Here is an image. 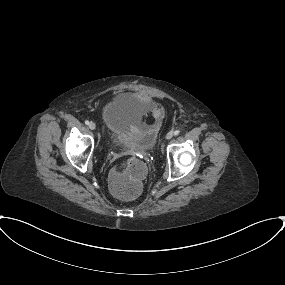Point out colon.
<instances>
[{"label":"colon","mask_w":285,"mask_h":285,"mask_svg":"<svg viewBox=\"0 0 285 285\" xmlns=\"http://www.w3.org/2000/svg\"><path fill=\"white\" fill-rule=\"evenodd\" d=\"M145 165L132 160L123 167L114 170L110 176V189L118 199L130 201L137 198L143 191Z\"/></svg>","instance_id":"obj_1"}]
</instances>
